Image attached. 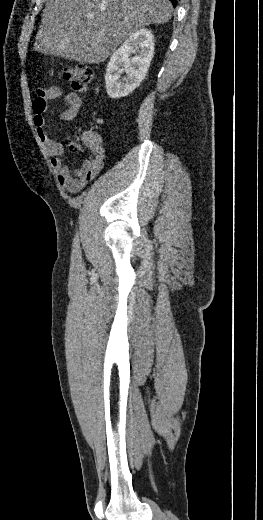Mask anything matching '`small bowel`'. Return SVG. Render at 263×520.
Segmentation results:
<instances>
[{
  "instance_id": "small-bowel-1",
  "label": "small bowel",
  "mask_w": 263,
  "mask_h": 520,
  "mask_svg": "<svg viewBox=\"0 0 263 520\" xmlns=\"http://www.w3.org/2000/svg\"><path fill=\"white\" fill-rule=\"evenodd\" d=\"M63 96L62 90L58 86L49 88H39L36 90V97L33 100V124L36 132L42 141L51 165L57 174L60 185L70 193H76L83 189L103 168V146L101 136L94 131H87L83 134V141L90 149V155L79 166L74 168L67 167L62 155L64 148L61 143L50 138L46 132L45 113L48 103L51 100ZM66 108L60 114V119L64 121L73 120L81 106L82 98L76 93H68L63 96Z\"/></svg>"
}]
</instances>
